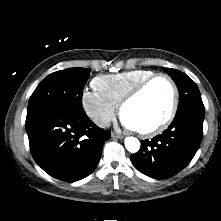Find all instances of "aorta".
<instances>
[{"mask_svg": "<svg viewBox=\"0 0 221 221\" xmlns=\"http://www.w3.org/2000/svg\"><path fill=\"white\" fill-rule=\"evenodd\" d=\"M126 149L130 153H136L140 149V142L137 138L135 137H126L124 141Z\"/></svg>", "mask_w": 221, "mask_h": 221, "instance_id": "1", "label": "aorta"}]
</instances>
